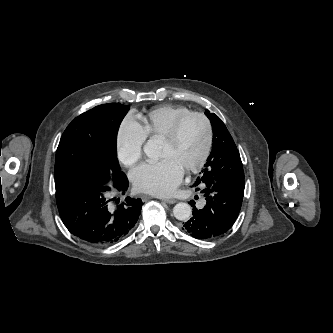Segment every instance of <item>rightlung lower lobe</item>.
<instances>
[{
	"label": "right lung lower lobe",
	"instance_id": "right-lung-lower-lobe-1",
	"mask_svg": "<svg viewBox=\"0 0 333 333\" xmlns=\"http://www.w3.org/2000/svg\"><path fill=\"white\" fill-rule=\"evenodd\" d=\"M129 186L123 172H114L111 183L102 175L75 180L56 190L60 217L67 229L93 245H110L124 238L141 214L142 200L127 197L115 208L108 192L125 194Z\"/></svg>",
	"mask_w": 333,
	"mask_h": 333
}]
</instances>
